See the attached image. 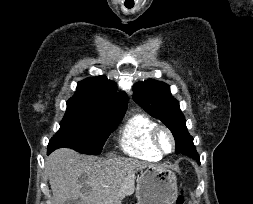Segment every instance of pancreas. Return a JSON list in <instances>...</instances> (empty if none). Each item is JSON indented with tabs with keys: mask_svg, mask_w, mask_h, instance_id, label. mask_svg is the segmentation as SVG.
Segmentation results:
<instances>
[{
	"mask_svg": "<svg viewBox=\"0 0 253 204\" xmlns=\"http://www.w3.org/2000/svg\"><path fill=\"white\" fill-rule=\"evenodd\" d=\"M134 178L127 177L120 187V193L122 195H131L134 192Z\"/></svg>",
	"mask_w": 253,
	"mask_h": 204,
	"instance_id": "obj_1",
	"label": "pancreas"
}]
</instances>
